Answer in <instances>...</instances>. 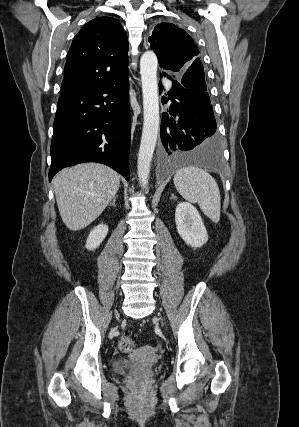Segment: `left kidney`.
<instances>
[{
    "instance_id": "obj_1",
    "label": "left kidney",
    "mask_w": 299,
    "mask_h": 427,
    "mask_svg": "<svg viewBox=\"0 0 299 427\" xmlns=\"http://www.w3.org/2000/svg\"><path fill=\"white\" fill-rule=\"evenodd\" d=\"M175 223L183 241L199 248L207 243L208 234L197 209L189 202H180L176 207Z\"/></svg>"
}]
</instances>
